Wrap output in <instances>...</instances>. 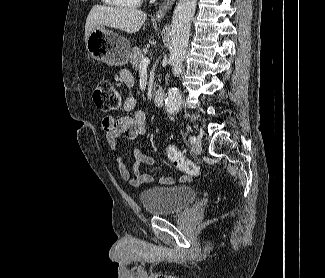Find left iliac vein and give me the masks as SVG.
<instances>
[{
    "label": "left iliac vein",
    "instance_id": "1",
    "mask_svg": "<svg viewBox=\"0 0 325 278\" xmlns=\"http://www.w3.org/2000/svg\"><path fill=\"white\" fill-rule=\"evenodd\" d=\"M192 151L195 154H201L202 152V146H201V140L199 138H196V142L192 145Z\"/></svg>",
    "mask_w": 325,
    "mask_h": 278
}]
</instances>
